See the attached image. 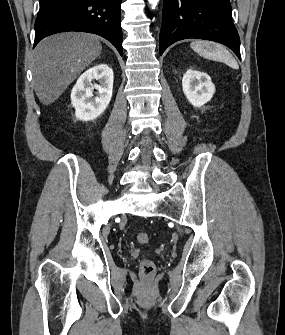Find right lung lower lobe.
<instances>
[{"instance_id":"right-lung-lower-lobe-1","label":"right lung lower lobe","mask_w":285,"mask_h":335,"mask_svg":"<svg viewBox=\"0 0 285 335\" xmlns=\"http://www.w3.org/2000/svg\"><path fill=\"white\" fill-rule=\"evenodd\" d=\"M122 0H40L34 47L44 37L65 31L100 35L122 55Z\"/></svg>"}]
</instances>
